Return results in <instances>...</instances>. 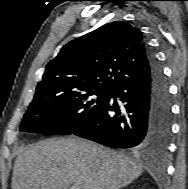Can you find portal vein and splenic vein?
I'll use <instances>...</instances> for the list:
<instances>
[{"label":"portal vein and splenic vein","mask_w":188,"mask_h":189,"mask_svg":"<svg viewBox=\"0 0 188 189\" xmlns=\"http://www.w3.org/2000/svg\"><path fill=\"white\" fill-rule=\"evenodd\" d=\"M71 189H81V187L79 184L75 183V184H73Z\"/></svg>","instance_id":"obj_1"}]
</instances>
